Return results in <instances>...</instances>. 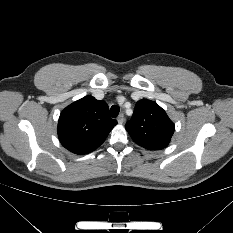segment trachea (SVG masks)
Masks as SVG:
<instances>
[{"mask_svg": "<svg viewBox=\"0 0 233 233\" xmlns=\"http://www.w3.org/2000/svg\"><path fill=\"white\" fill-rule=\"evenodd\" d=\"M119 111H120L119 107L116 106V105H113L111 107V109H110V115H111V117L116 118L118 116V114H119Z\"/></svg>", "mask_w": 233, "mask_h": 233, "instance_id": "3493384b", "label": "trachea"}]
</instances>
